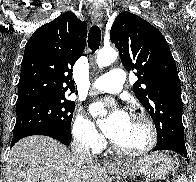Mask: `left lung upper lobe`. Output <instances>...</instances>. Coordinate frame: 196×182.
<instances>
[{
	"instance_id": "1",
	"label": "left lung upper lobe",
	"mask_w": 196,
	"mask_h": 182,
	"mask_svg": "<svg viewBox=\"0 0 196 182\" xmlns=\"http://www.w3.org/2000/svg\"><path fill=\"white\" fill-rule=\"evenodd\" d=\"M110 39L123 66L137 70L133 91L154 121L156 145L185 144L180 79L161 32L141 17L121 12L112 25Z\"/></svg>"
}]
</instances>
